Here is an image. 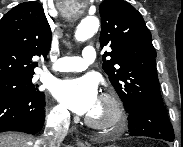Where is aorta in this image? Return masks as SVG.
<instances>
[{"mask_svg": "<svg viewBox=\"0 0 183 147\" xmlns=\"http://www.w3.org/2000/svg\"><path fill=\"white\" fill-rule=\"evenodd\" d=\"M99 28V19L95 16H87L81 20L75 32L78 41H85L91 38Z\"/></svg>", "mask_w": 183, "mask_h": 147, "instance_id": "aorta-1", "label": "aorta"}]
</instances>
